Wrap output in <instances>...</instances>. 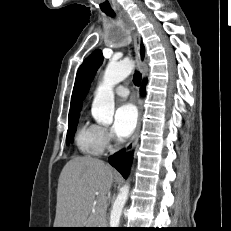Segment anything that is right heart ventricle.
<instances>
[{"label": "right heart ventricle", "instance_id": "right-heart-ventricle-1", "mask_svg": "<svg viewBox=\"0 0 231 231\" xmlns=\"http://www.w3.org/2000/svg\"><path fill=\"white\" fill-rule=\"evenodd\" d=\"M75 141L79 151L87 156H98L105 149L101 141L100 126L96 124L88 122L81 124Z\"/></svg>", "mask_w": 231, "mask_h": 231}]
</instances>
